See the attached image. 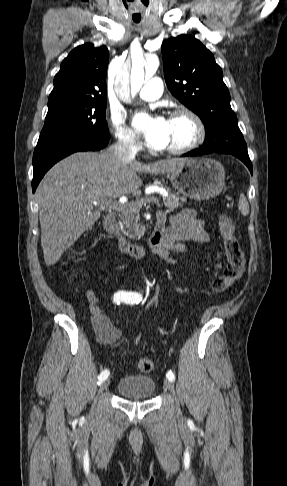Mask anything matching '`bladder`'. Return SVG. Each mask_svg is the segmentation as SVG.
<instances>
[{"label":"bladder","instance_id":"31cf9c89","mask_svg":"<svg viewBox=\"0 0 287 486\" xmlns=\"http://www.w3.org/2000/svg\"><path fill=\"white\" fill-rule=\"evenodd\" d=\"M117 390L122 396L127 398L148 399L154 395L156 384L151 376L131 374L120 378Z\"/></svg>","mask_w":287,"mask_h":486}]
</instances>
